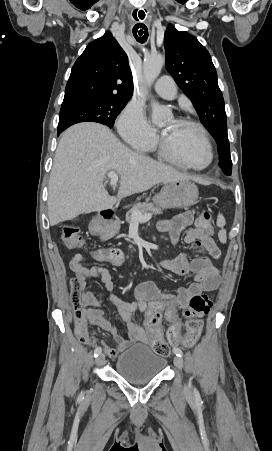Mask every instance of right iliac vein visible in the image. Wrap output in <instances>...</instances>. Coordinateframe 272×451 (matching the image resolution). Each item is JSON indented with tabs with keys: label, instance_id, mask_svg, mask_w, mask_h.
Masks as SVG:
<instances>
[{
	"label": "right iliac vein",
	"instance_id": "obj_1",
	"mask_svg": "<svg viewBox=\"0 0 272 451\" xmlns=\"http://www.w3.org/2000/svg\"><path fill=\"white\" fill-rule=\"evenodd\" d=\"M105 361V357L103 354L98 355L97 359H96V366H101L104 364Z\"/></svg>",
	"mask_w": 272,
	"mask_h": 451
}]
</instances>
